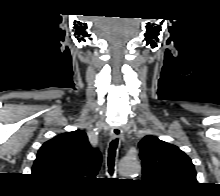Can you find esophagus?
I'll use <instances>...</instances> for the list:
<instances>
[{
  "instance_id": "34e87169",
  "label": "esophagus",
  "mask_w": 220,
  "mask_h": 196,
  "mask_svg": "<svg viewBox=\"0 0 220 196\" xmlns=\"http://www.w3.org/2000/svg\"><path fill=\"white\" fill-rule=\"evenodd\" d=\"M110 136L112 139L121 138L123 136V132L120 127H113Z\"/></svg>"
}]
</instances>
